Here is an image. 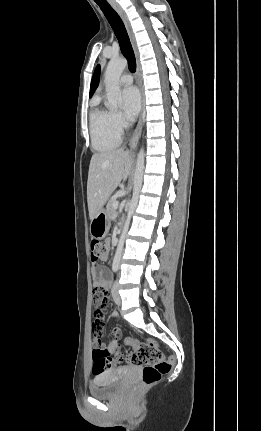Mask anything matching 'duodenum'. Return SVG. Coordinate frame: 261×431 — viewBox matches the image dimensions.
Returning a JSON list of instances; mask_svg holds the SVG:
<instances>
[{
  "label": "duodenum",
  "mask_w": 261,
  "mask_h": 431,
  "mask_svg": "<svg viewBox=\"0 0 261 431\" xmlns=\"http://www.w3.org/2000/svg\"><path fill=\"white\" fill-rule=\"evenodd\" d=\"M121 231H122V228L119 229V233H121Z\"/></svg>",
  "instance_id": "410a0bca"
}]
</instances>
